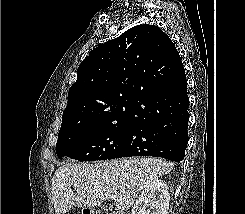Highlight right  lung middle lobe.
Returning a JSON list of instances; mask_svg holds the SVG:
<instances>
[{
    "label": "right lung middle lobe",
    "instance_id": "dd1d6c3e",
    "mask_svg": "<svg viewBox=\"0 0 245 214\" xmlns=\"http://www.w3.org/2000/svg\"><path fill=\"white\" fill-rule=\"evenodd\" d=\"M134 115L114 120L91 122L79 117L62 116L56 143L59 159L68 156L79 161L110 160L117 157L127 138Z\"/></svg>",
    "mask_w": 245,
    "mask_h": 214
}]
</instances>
